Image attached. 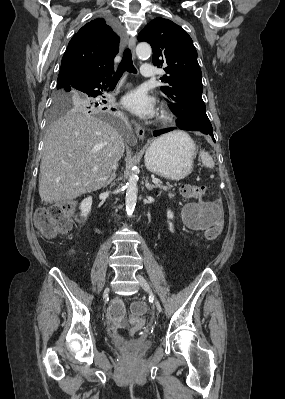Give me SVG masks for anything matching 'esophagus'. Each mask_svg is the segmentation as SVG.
<instances>
[{
  "mask_svg": "<svg viewBox=\"0 0 285 399\" xmlns=\"http://www.w3.org/2000/svg\"><path fill=\"white\" fill-rule=\"evenodd\" d=\"M135 45H136V37L135 36H131L128 40V46L131 49L133 56H134V49H135ZM136 134L138 136L139 139H143L144 134H145V130L142 126L140 125H136Z\"/></svg>",
  "mask_w": 285,
  "mask_h": 399,
  "instance_id": "34e87169",
  "label": "esophagus"
}]
</instances>
